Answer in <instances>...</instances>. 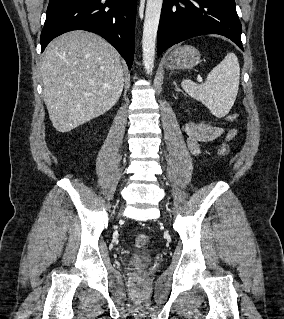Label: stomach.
I'll use <instances>...</instances> for the list:
<instances>
[{"label":"stomach","instance_id":"1","mask_svg":"<svg viewBox=\"0 0 284 319\" xmlns=\"http://www.w3.org/2000/svg\"><path fill=\"white\" fill-rule=\"evenodd\" d=\"M201 61L200 52L193 46L184 45L175 48L166 57V66L170 70L191 69Z\"/></svg>","mask_w":284,"mask_h":319}]
</instances>
